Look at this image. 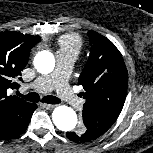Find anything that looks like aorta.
<instances>
[{"instance_id": "1", "label": "aorta", "mask_w": 153, "mask_h": 153, "mask_svg": "<svg viewBox=\"0 0 153 153\" xmlns=\"http://www.w3.org/2000/svg\"><path fill=\"white\" fill-rule=\"evenodd\" d=\"M34 66L41 74H48L55 67L54 55L49 51L39 52L34 59ZM52 120L55 126L64 132L73 130L77 125L75 111L65 105L57 106L52 112Z\"/></svg>"}]
</instances>
